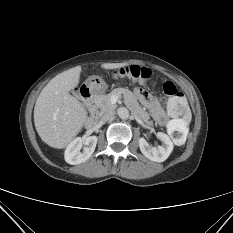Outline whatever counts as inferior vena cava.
<instances>
[{
	"instance_id": "1",
	"label": "inferior vena cava",
	"mask_w": 233,
	"mask_h": 233,
	"mask_svg": "<svg viewBox=\"0 0 233 233\" xmlns=\"http://www.w3.org/2000/svg\"><path fill=\"white\" fill-rule=\"evenodd\" d=\"M115 115V112L114 111H107L105 112L101 118H100V122L101 123H105L107 122L108 120L112 119Z\"/></svg>"
}]
</instances>
